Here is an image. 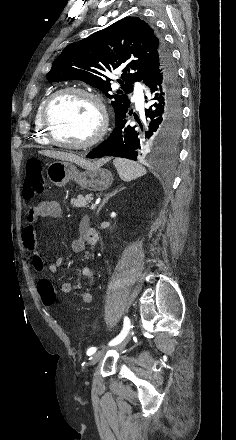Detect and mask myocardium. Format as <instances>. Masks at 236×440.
<instances>
[{
	"label": "myocardium",
	"mask_w": 236,
	"mask_h": 440,
	"mask_svg": "<svg viewBox=\"0 0 236 440\" xmlns=\"http://www.w3.org/2000/svg\"><path fill=\"white\" fill-rule=\"evenodd\" d=\"M68 94H76L88 98L97 109V113H98L97 129L90 139L82 143L70 144V143H64L58 141L51 130L50 121H49L50 107L57 98ZM40 121L43 131L50 144L64 149L81 150V149H87L93 147L104 137L108 128V113L103 100L97 94L80 87H65L55 91L49 97L46 98L42 107Z\"/></svg>",
	"instance_id": "f54148a6"
}]
</instances>
